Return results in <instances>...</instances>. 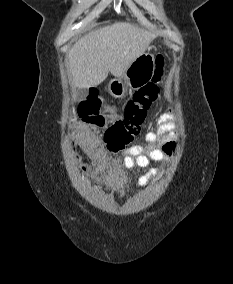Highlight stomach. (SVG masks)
<instances>
[{"label":"stomach","mask_w":233,"mask_h":284,"mask_svg":"<svg viewBox=\"0 0 233 284\" xmlns=\"http://www.w3.org/2000/svg\"><path fill=\"white\" fill-rule=\"evenodd\" d=\"M154 71V55L143 53L131 63L122 76L110 81L108 91L113 97L121 98L128 88L139 89L146 85L152 79Z\"/></svg>","instance_id":"0dacf381"}]
</instances>
